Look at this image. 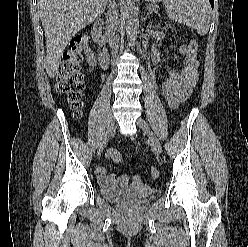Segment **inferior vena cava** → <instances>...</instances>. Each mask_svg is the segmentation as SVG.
<instances>
[{"label": "inferior vena cava", "mask_w": 248, "mask_h": 247, "mask_svg": "<svg viewBox=\"0 0 248 247\" xmlns=\"http://www.w3.org/2000/svg\"><path fill=\"white\" fill-rule=\"evenodd\" d=\"M118 25V11L116 10L115 3H112L111 0L108 2V11L106 14V28L107 33L112 37L114 43L111 44L112 55L116 56L118 51V37L116 35Z\"/></svg>", "instance_id": "inferior-vena-cava-1"}]
</instances>
